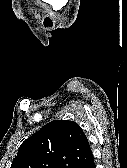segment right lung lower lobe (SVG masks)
I'll use <instances>...</instances> for the list:
<instances>
[{"label":"right lung lower lobe","instance_id":"obj_1","mask_svg":"<svg viewBox=\"0 0 127 168\" xmlns=\"http://www.w3.org/2000/svg\"><path fill=\"white\" fill-rule=\"evenodd\" d=\"M75 168H95L93 157L83 161L82 163H79L77 166H75Z\"/></svg>","mask_w":127,"mask_h":168}]
</instances>
